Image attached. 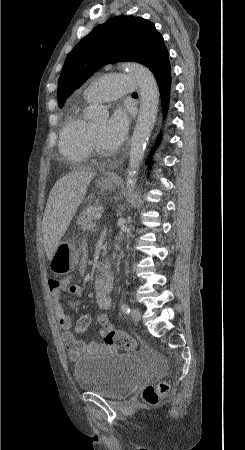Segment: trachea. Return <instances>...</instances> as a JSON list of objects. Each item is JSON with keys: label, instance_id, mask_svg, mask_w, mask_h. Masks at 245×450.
<instances>
[{"label": "trachea", "instance_id": "1", "mask_svg": "<svg viewBox=\"0 0 245 450\" xmlns=\"http://www.w3.org/2000/svg\"><path fill=\"white\" fill-rule=\"evenodd\" d=\"M133 95H137V93H136V92H134V93H133Z\"/></svg>", "mask_w": 245, "mask_h": 450}]
</instances>
